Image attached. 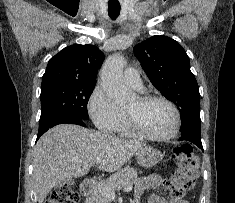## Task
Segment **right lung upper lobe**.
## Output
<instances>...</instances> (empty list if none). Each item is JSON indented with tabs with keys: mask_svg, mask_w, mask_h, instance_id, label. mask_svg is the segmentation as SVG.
I'll use <instances>...</instances> for the list:
<instances>
[{
	"mask_svg": "<svg viewBox=\"0 0 235 203\" xmlns=\"http://www.w3.org/2000/svg\"><path fill=\"white\" fill-rule=\"evenodd\" d=\"M103 60L104 54L96 46H68L49 60L41 87L62 82L96 83Z\"/></svg>",
	"mask_w": 235,
	"mask_h": 203,
	"instance_id": "cb5924a9",
	"label": "right lung upper lobe"
}]
</instances>
